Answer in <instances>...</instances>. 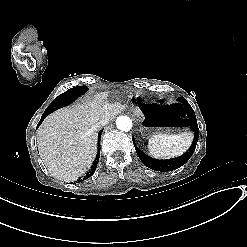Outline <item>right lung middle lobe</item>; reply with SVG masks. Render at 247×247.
I'll return each mask as SVG.
<instances>
[{"instance_id": "right-lung-middle-lobe-1", "label": "right lung middle lobe", "mask_w": 247, "mask_h": 247, "mask_svg": "<svg viewBox=\"0 0 247 247\" xmlns=\"http://www.w3.org/2000/svg\"><path fill=\"white\" fill-rule=\"evenodd\" d=\"M87 91V87L80 86L68 89L63 94L59 95L56 99L52 101V103L46 108L45 112L47 115L52 113L53 111L66 106L78 96Z\"/></svg>"}]
</instances>
